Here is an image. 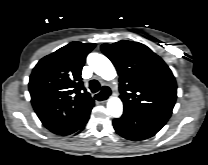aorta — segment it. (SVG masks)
Returning a JSON list of instances; mask_svg holds the SVG:
<instances>
[{"mask_svg":"<svg viewBox=\"0 0 208 165\" xmlns=\"http://www.w3.org/2000/svg\"><path fill=\"white\" fill-rule=\"evenodd\" d=\"M93 71L105 80H114L117 73L111 61L102 54L91 53L87 58ZM107 110L112 117H120L123 112V104L120 98L112 97L107 102Z\"/></svg>","mask_w":208,"mask_h":165,"instance_id":"aorta-1","label":"aorta"}]
</instances>
